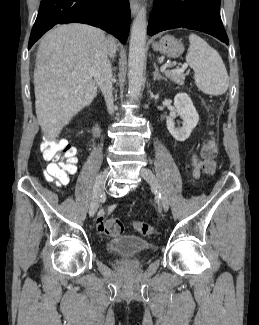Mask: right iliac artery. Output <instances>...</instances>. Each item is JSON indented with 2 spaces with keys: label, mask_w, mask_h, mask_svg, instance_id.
<instances>
[{
  "label": "right iliac artery",
  "mask_w": 259,
  "mask_h": 325,
  "mask_svg": "<svg viewBox=\"0 0 259 325\" xmlns=\"http://www.w3.org/2000/svg\"><path fill=\"white\" fill-rule=\"evenodd\" d=\"M97 178H98V177H97ZM96 182L98 183L99 181L96 180ZM97 183H95V184L93 185V196H94L95 194L98 193V184H97Z\"/></svg>",
  "instance_id": "82829eb1"
}]
</instances>
